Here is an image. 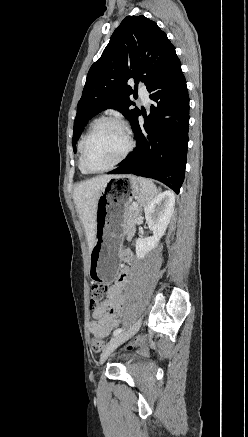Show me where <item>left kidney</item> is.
Returning a JSON list of instances; mask_svg holds the SVG:
<instances>
[{
    "label": "left kidney",
    "mask_w": 248,
    "mask_h": 437,
    "mask_svg": "<svg viewBox=\"0 0 248 437\" xmlns=\"http://www.w3.org/2000/svg\"><path fill=\"white\" fill-rule=\"evenodd\" d=\"M175 196L171 191H165L155 196L144 209L145 219L153 236L136 240V255L143 259L153 250L164 235L174 211Z\"/></svg>",
    "instance_id": "left-kidney-1"
}]
</instances>
